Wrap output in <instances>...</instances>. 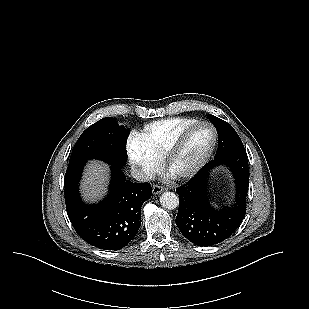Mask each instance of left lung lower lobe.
<instances>
[{
  "label": "left lung lower lobe",
  "instance_id": "0a47b994",
  "mask_svg": "<svg viewBox=\"0 0 309 309\" xmlns=\"http://www.w3.org/2000/svg\"><path fill=\"white\" fill-rule=\"evenodd\" d=\"M220 135L221 131L217 130ZM224 164L230 168L236 184L235 204L230 208L214 209L206 190L209 171ZM249 169L245 148L217 155L186 184L176 189L179 209L176 223L181 233L193 244L211 246L229 238L239 227L246 213Z\"/></svg>",
  "mask_w": 309,
  "mask_h": 309
}]
</instances>
